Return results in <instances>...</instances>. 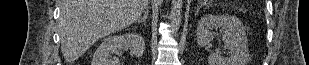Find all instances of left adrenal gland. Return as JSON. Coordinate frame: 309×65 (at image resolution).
Here are the masks:
<instances>
[{
  "label": "left adrenal gland",
  "instance_id": "a2214340",
  "mask_svg": "<svg viewBox=\"0 0 309 65\" xmlns=\"http://www.w3.org/2000/svg\"><path fill=\"white\" fill-rule=\"evenodd\" d=\"M199 10H200V7L198 6L197 9H196L195 15L198 14Z\"/></svg>",
  "mask_w": 309,
  "mask_h": 65
}]
</instances>
